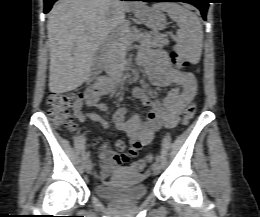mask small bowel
<instances>
[{
  "label": "small bowel",
  "instance_id": "1",
  "mask_svg": "<svg viewBox=\"0 0 260 217\" xmlns=\"http://www.w3.org/2000/svg\"><path fill=\"white\" fill-rule=\"evenodd\" d=\"M139 65L145 69L153 85L166 88L167 93L162 100L152 96L148 86L135 87L133 96L151 109L145 119L134 115L125 119L127 109L118 107L113 115L116 128L130 137V149L125 152V143L116 141L115 149H107L101 153L100 178L107 180L122 163L128 162L137 155L141 148L152 142L154 133L162 126L174 128L179 120L180 113L193 100L197 85L191 73L173 69L162 50L144 51L138 59ZM106 92L88 90L85 92V104L98 111H105L106 105L100 98ZM74 116L80 122L88 119L99 122L104 128H109V123L97 113H84L82 103L73 108Z\"/></svg>",
  "mask_w": 260,
  "mask_h": 217
}]
</instances>
